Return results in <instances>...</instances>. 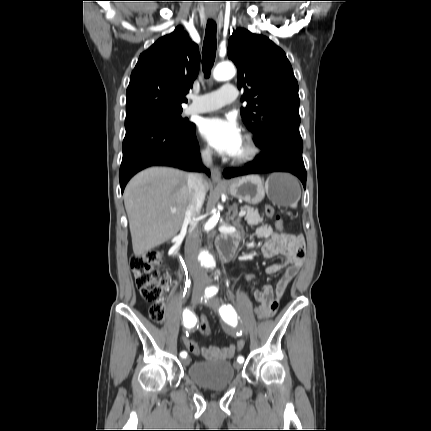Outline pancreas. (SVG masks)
Returning <instances> with one entry per match:
<instances>
[{"mask_svg":"<svg viewBox=\"0 0 431 431\" xmlns=\"http://www.w3.org/2000/svg\"><path fill=\"white\" fill-rule=\"evenodd\" d=\"M241 210H245L247 212L245 216V220L247 221L248 225L255 226L263 222V218L259 215V212L257 209H254L249 206H245V207H242Z\"/></svg>","mask_w":431,"mask_h":431,"instance_id":"1","label":"pancreas"}]
</instances>
